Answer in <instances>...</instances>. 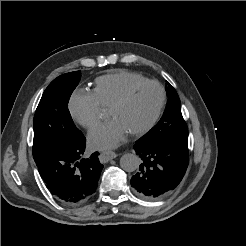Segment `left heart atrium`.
<instances>
[{
    "label": "left heart atrium",
    "mask_w": 246,
    "mask_h": 246,
    "mask_svg": "<svg viewBox=\"0 0 246 246\" xmlns=\"http://www.w3.org/2000/svg\"><path fill=\"white\" fill-rule=\"evenodd\" d=\"M128 130L118 119H111L93 129L89 134V142L96 149H110L117 146Z\"/></svg>",
    "instance_id": "39dd6f15"
}]
</instances>
